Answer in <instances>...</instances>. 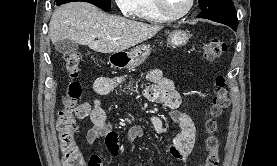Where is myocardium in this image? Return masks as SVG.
I'll use <instances>...</instances> for the list:
<instances>
[{"mask_svg":"<svg viewBox=\"0 0 277 166\" xmlns=\"http://www.w3.org/2000/svg\"><path fill=\"white\" fill-rule=\"evenodd\" d=\"M194 2H195V0H188V3L186 5L185 9L179 13L174 14V13H171L167 9L165 0H155V4H156V7H157L159 13L164 18H166L167 20H170V21L179 20V19L185 17L192 10V8L194 6Z\"/></svg>","mask_w":277,"mask_h":166,"instance_id":"obj_1","label":"myocardium"}]
</instances>
